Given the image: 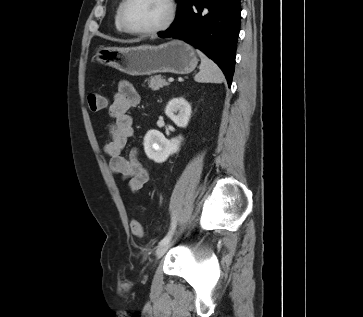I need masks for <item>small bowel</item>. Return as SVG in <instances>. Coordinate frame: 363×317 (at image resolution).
Returning <instances> with one entry per match:
<instances>
[{"label":"small bowel","instance_id":"small-bowel-1","mask_svg":"<svg viewBox=\"0 0 363 317\" xmlns=\"http://www.w3.org/2000/svg\"><path fill=\"white\" fill-rule=\"evenodd\" d=\"M140 102L141 97L134 86L127 81L120 82L109 106L113 121L108 125L110 141L105 145L111 171L123 180H128L133 192L140 191L149 179L148 170L141 163L137 148H133L127 157L122 154L127 141L134 135L133 119L128 112Z\"/></svg>","mask_w":363,"mask_h":317}]
</instances>
